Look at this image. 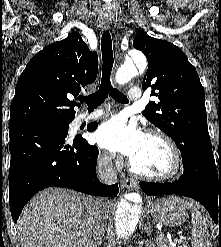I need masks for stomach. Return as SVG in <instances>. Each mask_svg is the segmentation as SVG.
Returning <instances> with one entry per match:
<instances>
[{
  "label": "stomach",
  "mask_w": 221,
  "mask_h": 247,
  "mask_svg": "<svg viewBox=\"0 0 221 247\" xmlns=\"http://www.w3.org/2000/svg\"><path fill=\"white\" fill-rule=\"evenodd\" d=\"M186 201L179 197L159 198L149 205L151 216L171 227L178 226L185 221L187 217Z\"/></svg>",
  "instance_id": "stomach-1"
}]
</instances>
